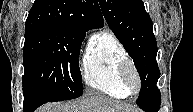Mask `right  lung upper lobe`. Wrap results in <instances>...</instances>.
I'll list each match as a JSON object with an SVG mask.
<instances>
[{
  "label": "right lung upper lobe",
  "instance_id": "right-lung-upper-lobe-1",
  "mask_svg": "<svg viewBox=\"0 0 193 112\" xmlns=\"http://www.w3.org/2000/svg\"><path fill=\"white\" fill-rule=\"evenodd\" d=\"M103 25L97 0H35L25 23V32L41 28L86 32Z\"/></svg>",
  "mask_w": 193,
  "mask_h": 112
}]
</instances>
